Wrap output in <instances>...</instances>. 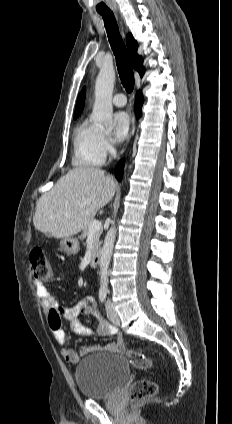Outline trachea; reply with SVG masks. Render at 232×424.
Segmentation results:
<instances>
[{"label": "trachea", "mask_w": 232, "mask_h": 424, "mask_svg": "<svg viewBox=\"0 0 232 424\" xmlns=\"http://www.w3.org/2000/svg\"><path fill=\"white\" fill-rule=\"evenodd\" d=\"M105 24L109 42L116 57L117 69L121 83L127 92L134 88V74L125 44L120 36L119 29L112 12H99Z\"/></svg>", "instance_id": "obj_1"}]
</instances>
